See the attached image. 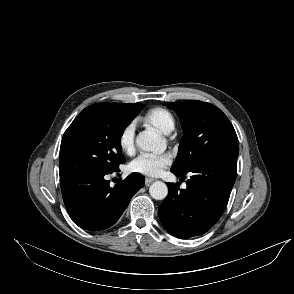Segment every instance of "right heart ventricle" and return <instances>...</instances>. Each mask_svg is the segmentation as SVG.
I'll return each mask as SVG.
<instances>
[{
    "instance_id": "e07e8e85",
    "label": "right heart ventricle",
    "mask_w": 294,
    "mask_h": 294,
    "mask_svg": "<svg viewBox=\"0 0 294 294\" xmlns=\"http://www.w3.org/2000/svg\"><path fill=\"white\" fill-rule=\"evenodd\" d=\"M143 121L163 134H169L176 126L174 114L166 108L155 107L144 116Z\"/></svg>"
}]
</instances>
